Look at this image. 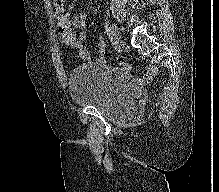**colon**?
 Masks as SVG:
<instances>
[{
	"label": "colon",
	"mask_w": 219,
	"mask_h": 192,
	"mask_svg": "<svg viewBox=\"0 0 219 192\" xmlns=\"http://www.w3.org/2000/svg\"><path fill=\"white\" fill-rule=\"evenodd\" d=\"M54 3L57 7H61L62 6V3H63V0H54ZM68 22L65 20V18H62L58 21V28L59 30H67L68 28Z\"/></svg>",
	"instance_id": "colon-1"
}]
</instances>
